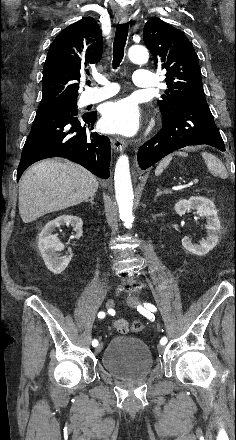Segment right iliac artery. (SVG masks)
<instances>
[{
  "label": "right iliac artery",
  "mask_w": 236,
  "mask_h": 440,
  "mask_svg": "<svg viewBox=\"0 0 236 440\" xmlns=\"http://www.w3.org/2000/svg\"><path fill=\"white\" fill-rule=\"evenodd\" d=\"M105 317V312L101 311L98 313V318L102 319ZM98 345V341L96 339H94L92 341V346L96 347Z\"/></svg>",
  "instance_id": "right-iliac-artery-1"
}]
</instances>
